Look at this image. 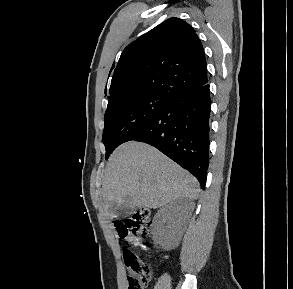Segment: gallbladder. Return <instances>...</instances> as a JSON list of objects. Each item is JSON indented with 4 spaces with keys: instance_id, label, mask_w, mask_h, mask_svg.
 <instances>
[{
    "instance_id": "gallbladder-1",
    "label": "gallbladder",
    "mask_w": 293,
    "mask_h": 289,
    "mask_svg": "<svg viewBox=\"0 0 293 289\" xmlns=\"http://www.w3.org/2000/svg\"><path fill=\"white\" fill-rule=\"evenodd\" d=\"M136 209V205L132 197L127 196L121 203L113 204L108 212L111 216L127 217Z\"/></svg>"
}]
</instances>
